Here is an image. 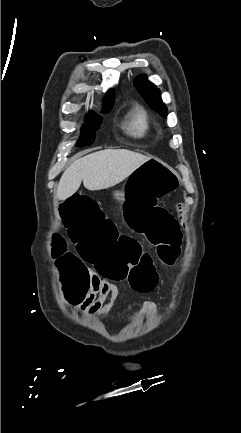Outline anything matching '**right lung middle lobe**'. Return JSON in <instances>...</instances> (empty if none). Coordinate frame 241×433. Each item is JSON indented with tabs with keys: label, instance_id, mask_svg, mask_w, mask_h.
<instances>
[{
	"label": "right lung middle lobe",
	"instance_id": "obj_1",
	"mask_svg": "<svg viewBox=\"0 0 241 433\" xmlns=\"http://www.w3.org/2000/svg\"><path fill=\"white\" fill-rule=\"evenodd\" d=\"M112 106L113 104L104 108L103 113L109 112ZM100 121L101 118L95 113L87 115L86 122L82 127V137L77 143V146H85L93 143L95 138V130L98 129Z\"/></svg>",
	"mask_w": 241,
	"mask_h": 433
}]
</instances>
